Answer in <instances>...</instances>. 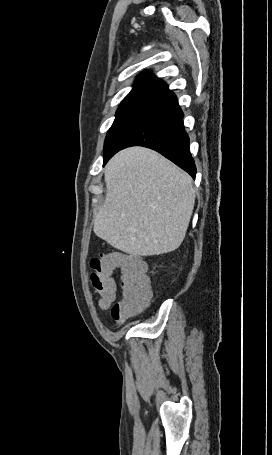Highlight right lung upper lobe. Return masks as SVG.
Instances as JSON below:
<instances>
[{
	"instance_id": "right-lung-upper-lobe-1",
	"label": "right lung upper lobe",
	"mask_w": 272,
	"mask_h": 455,
	"mask_svg": "<svg viewBox=\"0 0 272 455\" xmlns=\"http://www.w3.org/2000/svg\"><path fill=\"white\" fill-rule=\"evenodd\" d=\"M128 100H147L168 105L176 100V96L163 80L145 71L137 77L133 89L123 101Z\"/></svg>"
}]
</instances>
